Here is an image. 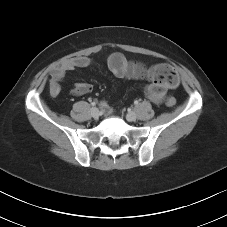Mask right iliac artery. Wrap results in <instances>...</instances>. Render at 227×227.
<instances>
[{
  "mask_svg": "<svg viewBox=\"0 0 227 227\" xmlns=\"http://www.w3.org/2000/svg\"><path fill=\"white\" fill-rule=\"evenodd\" d=\"M91 105H92V106H95V105H96V103H95V102H92V103H91Z\"/></svg>",
  "mask_w": 227,
  "mask_h": 227,
  "instance_id": "obj_1",
  "label": "right iliac artery"
}]
</instances>
